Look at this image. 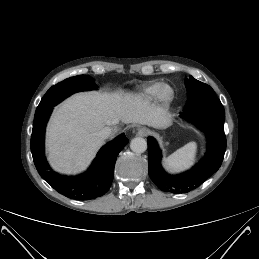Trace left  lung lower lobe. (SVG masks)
Instances as JSON below:
<instances>
[{"mask_svg": "<svg viewBox=\"0 0 259 259\" xmlns=\"http://www.w3.org/2000/svg\"><path fill=\"white\" fill-rule=\"evenodd\" d=\"M181 116L197 125L208 140L206 156L191 170L179 175L167 174L161 166V150L155 139L148 137L149 176L161 191L174 194L188 193L199 187L219 169L226 149L225 111L221 103L185 110Z\"/></svg>", "mask_w": 259, "mask_h": 259, "instance_id": "0a47b994", "label": "left lung lower lobe"}]
</instances>
